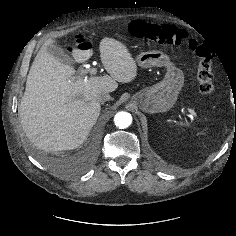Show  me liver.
<instances>
[{"label":"liver","instance_id":"1","mask_svg":"<svg viewBox=\"0 0 236 236\" xmlns=\"http://www.w3.org/2000/svg\"><path fill=\"white\" fill-rule=\"evenodd\" d=\"M55 38H49L37 53L26 80L19 106L22 128L27 138L46 151L78 148L96 123L100 93L113 92L118 82L129 83L137 76V65L122 42L104 37L100 42L101 61L109 75L75 77V69L48 51ZM91 49H73L77 63H84Z\"/></svg>","mask_w":236,"mask_h":236}]
</instances>
